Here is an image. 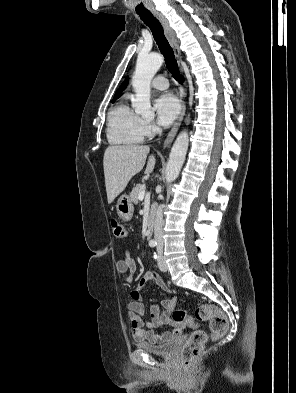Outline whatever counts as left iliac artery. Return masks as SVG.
I'll return each mask as SVG.
<instances>
[{
    "mask_svg": "<svg viewBox=\"0 0 296 393\" xmlns=\"http://www.w3.org/2000/svg\"><path fill=\"white\" fill-rule=\"evenodd\" d=\"M154 258L156 259L157 258V255H156V253L154 252Z\"/></svg>",
    "mask_w": 296,
    "mask_h": 393,
    "instance_id": "left-iliac-artery-1",
    "label": "left iliac artery"
}]
</instances>
